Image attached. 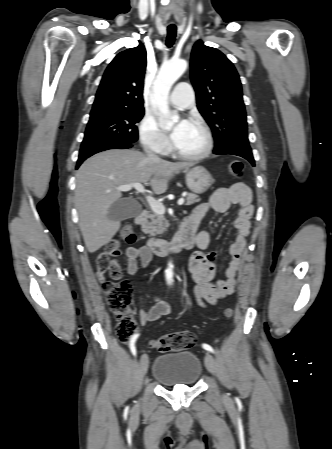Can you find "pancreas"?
<instances>
[{
  "label": "pancreas",
  "instance_id": "obj_1",
  "mask_svg": "<svg viewBox=\"0 0 332 449\" xmlns=\"http://www.w3.org/2000/svg\"><path fill=\"white\" fill-rule=\"evenodd\" d=\"M199 201L200 198L196 194L187 193L186 205H192ZM147 218H149L150 221L146 220L142 222L141 228L145 234H149L151 237L162 234L169 226L166 218L163 215L157 214L155 212L149 213L147 215Z\"/></svg>",
  "mask_w": 332,
  "mask_h": 449
}]
</instances>
